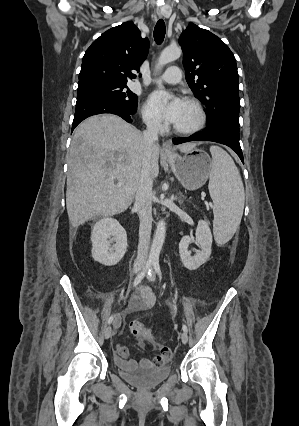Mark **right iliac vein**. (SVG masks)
Listing matches in <instances>:
<instances>
[{"instance_id":"63e3f726","label":"right iliac vein","mask_w":299,"mask_h":426,"mask_svg":"<svg viewBox=\"0 0 299 426\" xmlns=\"http://www.w3.org/2000/svg\"><path fill=\"white\" fill-rule=\"evenodd\" d=\"M141 269V266H137L135 268V272L137 273L139 270ZM104 336L106 339L110 338L112 336V328L111 326L106 327L105 332H104Z\"/></svg>"}]
</instances>
